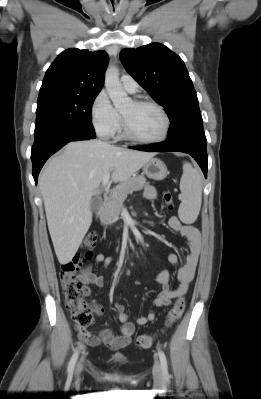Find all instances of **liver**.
<instances>
[{
    "label": "liver",
    "instance_id": "6515ba94",
    "mask_svg": "<svg viewBox=\"0 0 261 399\" xmlns=\"http://www.w3.org/2000/svg\"><path fill=\"white\" fill-rule=\"evenodd\" d=\"M154 156L89 140L68 143L49 161L38 185L60 264L71 261L92 223L90 203L104 175L111 172L113 182H124Z\"/></svg>",
    "mask_w": 261,
    "mask_h": 399
}]
</instances>
